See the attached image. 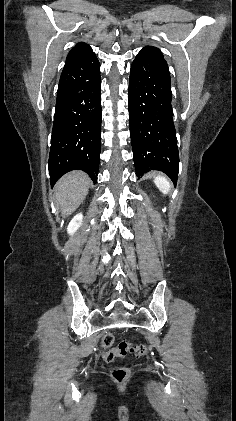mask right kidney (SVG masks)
I'll list each match as a JSON object with an SVG mask.
<instances>
[{
	"label": "right kidney",
	"mask_w": 236,
	"mask_h": 421,
	"mask_svg": "<svg viewBox=\"0 0 236 421\" xmlns=\"http://www.w3.org/2000/svg\"><path fill=\"white\" fill-rule=\"evenodd\" d=\"M82 219H83L82 213H78V215H75V217H73L72 221H70L67 227V231L69 235H73V233H76L77 229L81 227Z\"/></svg>",
	"instance_id": "ca27d5eb"
}]
</instances>
